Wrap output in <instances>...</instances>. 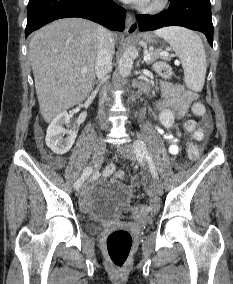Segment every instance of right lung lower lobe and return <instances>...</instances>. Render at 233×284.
I'll return each instance as SVG.
<instances>
[{
  "mask_svg": "<svg viewBox=\"0 0 233 284\" xmlns=\"http://www.w3.org/2000/svg\"><path fill=\"white\" fill-rule=\"evenodd\" d=\"M125 9L112 0H29L25 35L65 17H82L109 29L123 31Z\"/></svg>",
  "mask_w": 233,
  "mask_h": 284,
  "instance_id": "98d812e1",
  "label": "right lung lower lobe"
}]
</instances>
